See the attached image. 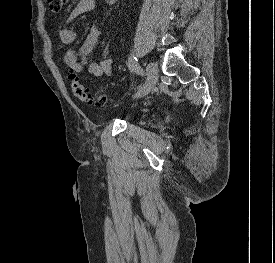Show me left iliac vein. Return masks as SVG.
<instances>
[{
  "instance_id": "1",
  "label": "left iliac vein",
  "mask_w": 275,
  "mask_h": 263,
  "mask_svg": "<svg viewBox=\"0 0 275 263\" xmlns=\"http://www.w3.org/2000/svg\"><path fill=\"white\" fill-rule=\"evenodd\" d=\"M158 80V67L154 62L148 63L146 67V82L143 87L135 94L134 98L146 96L156 85Z\"/></svg>"
}]
</instances>
